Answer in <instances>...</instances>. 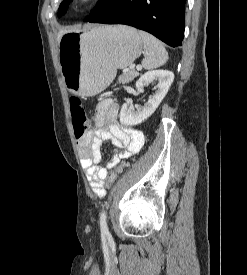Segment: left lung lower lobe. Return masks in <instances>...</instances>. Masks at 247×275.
Returning a JSON list of instances; mask_svg holds the SVG:
<instances>
[{
	"label": "left lung lower lobe",
	"instance_id": "0a47b994",
	"mask_svg": "<svg viewBox=\"0 0 247 275\" xmlns=\"http://www.w3.org/2000/svg\"><path fill=\"white\" fill-rule=\"evenodd\" d=\"M186 0H109L88 21L126 24L147 31L169 46H182Z\"/></svg>",
	"mask_w": 247,
	"mask_h": 275
}]
</instances>
